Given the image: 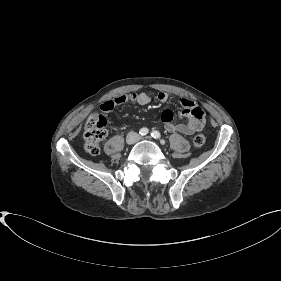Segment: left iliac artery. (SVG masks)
Here are the masks:
<instances>
[{
	"mask_svg": "<svg viewBox=\"0 0 281 281\" xmlns=\"http://www.w3.org/2000/svg\"><path fill=\"white\" fill-rule=\"evenodd\" d=\"M151 136L155 139H159L161 134L158 131H152Z\"/></svg>",
	"mask_w": 281,
	"mask_h": 281,
	"instance_id": "1",
	"label": "left iliac artery"
}]
</instances>
